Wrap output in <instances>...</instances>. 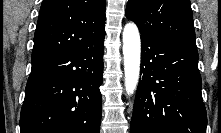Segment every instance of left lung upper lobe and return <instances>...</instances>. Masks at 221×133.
Returning <instances> with one entry per match:
<instances>
[{
  "label": "left lung upper lobe",
  "instance_id": "left-lung-upper-lobe-1",
  "mask_svg": "<svg viewBox=\"0 0 221 133\" xmlns=\"http://www.w3.org/2000/svg\"><path fill=\"white\" fill-rule=\"evenodd\" d=\"M126 17L142 35L173 40L196 47L189 0H129Z\"/></svg>",
  "mask_w": 221,
  "mask_h": 133
}]
</instances>
